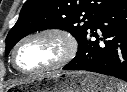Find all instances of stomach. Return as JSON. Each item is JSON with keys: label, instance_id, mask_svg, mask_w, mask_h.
Returning a JSON list of instances; mask_svg holds the SVG:
<instances>
[{"label": "stomach", "instance_id": "stomach-1", "mask_svg": "<svg viewBox=\"0 0 127 92\" xmlns=\"http://www.w3.org/2000/svg\"><path fill=\"white\" fill-rule=\"evenodd\" d=\"M27 86L32 92H115L112 80L77 71L44 74L30 79Z\"/></svg>", "mask_w": 127, "mask_h": 92}]
</instances>
